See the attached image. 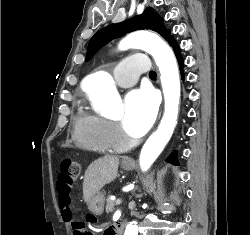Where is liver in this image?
<instances>
[{"label":"liver","instance_id":"6515ba94","mask_svg":"<svg viewBox=\"0 0 250 235\" xmlns=\"http://www.w3.org/2000/svg\"><path fill=\"white\" fill-rule=\"evenodd\" d=\"M118 166L117 156H104L88 166L83 182V198L87 204L94 194L116 179Z\"/></svg>","mask_w":250,"mask_h":235}]
</instances>
